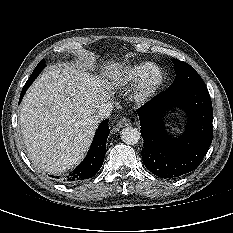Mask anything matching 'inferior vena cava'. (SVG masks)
I'll use <instances>...</instances> for the list:
<instances>
[{
    "label": "inferior vena cava",
    "instance_id": "obj_1",
    "mask_svg": "<svg viewBox=\"0 0 233 233\" xmlns=\"http://www.w3.org/2000/svg\"><path fill=\"white\" fill-rule=\"evenodd\" d=\"M112 104L111 103H104L102 104V106L100 107L99 111L96 113V115L94 116L95 119H97L98 121L104 119V118H108L111 113H112Z\"/></svg>",
    "mask_w": 233,
    "mask_h": 233
}]
</instances>
